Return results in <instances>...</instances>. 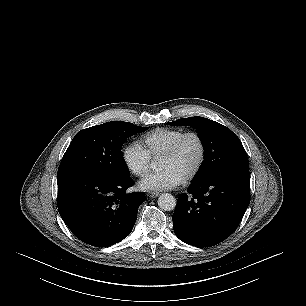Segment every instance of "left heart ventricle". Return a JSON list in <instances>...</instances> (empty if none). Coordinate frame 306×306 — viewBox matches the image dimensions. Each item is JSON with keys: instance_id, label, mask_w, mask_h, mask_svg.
<instances>
[{"instance_id": "b2bd125f", "label": "left heart ventricle", "mask_w": 306, "mask_h": 306, "mask_svg": "<svg viewBox=\"0 0 306 306\" xmlns=\"http://www.w3.org/2000/svg\"><path fill=\"white\" fill-rule=\"evenodd\" d=\"M200 156V147L194 137L187 138L180 146L176 155L161 158L160 169H171L184 179L196 166Z\"/></svg>"}]
</instances>
